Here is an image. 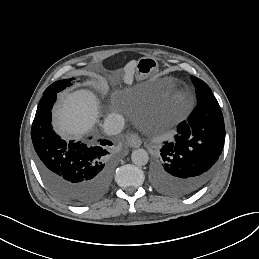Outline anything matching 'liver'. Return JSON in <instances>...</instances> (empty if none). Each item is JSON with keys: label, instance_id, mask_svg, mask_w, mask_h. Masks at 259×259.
Listing matches in <instances>:
<instances>
[{"label": "liver", "instance_id": "obj_1", "mask_svg": "<svg viewBox=\"0 0 259 259\" xmlns=\"http://www.w3.org/2000/svg\"><path fill=\"white\" fill-rule=\"evenodd\" d=\"M135 64L125 67L124 82L132 84ZM99 100L89 90L64 94L53 110V126L64 138L81 139L99 122Z\"/></svg>", "mask_w": 259, "mask_h": 259}]
</instances>
